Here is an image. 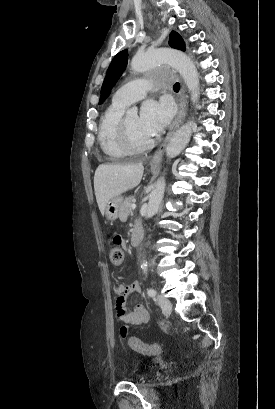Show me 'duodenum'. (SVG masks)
Instances as JSON below:
<instances>
[{"instance_id":"1","label":"duodenum","mask_w":275,"mask_h":409,"mask_svg":"<svg viewBox=\"0 0 275 409\" xmlns=\"http://www.w3.org/2000/svg\"><path fill=\"white\" fill-rule=\"evenodd\" d=\"M142 237H143V229L141 225L137 224L134 226L131 232V244L133 246H137L141 242Z\"/></svg>"}]
</instances>
